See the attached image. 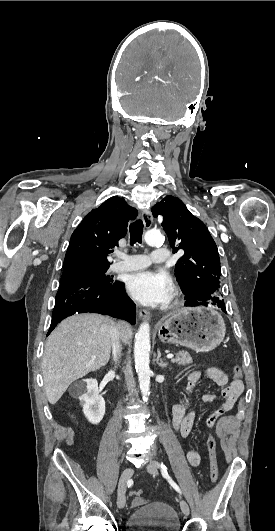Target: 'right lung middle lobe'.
<instances>
[{
    "label": "right lung middle lobe",
    "instance_id": "1",
    "mask_svg": "<svg viewBox=\"0 0 275 531\" xmlns=\"http://www.w3.org/2000/svg\"><path fill=\"white\" fill-rule=\"evenodd\" d=\"M108 268L109 266H78L69 270H64L61 279L72 276H83L91 278L100 283H112L113 281L111 276L105 274Z\"/></svg>",
    "mask_w": 275,
    "mask_h": 531
}]
</instances>
